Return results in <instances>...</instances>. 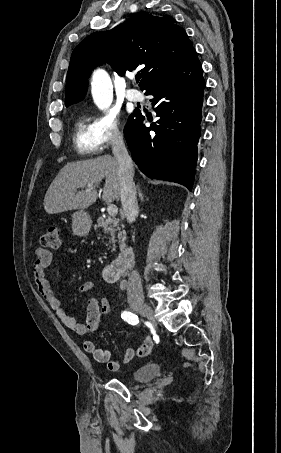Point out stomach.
Returning a JSON list of instances; mask_svg holds the SVG:
<instances>
[{
    "instance_id": "1",
    "label": "stomach",
    "mask_w": 281,
    "mask_h": 453,
    "mask_svg": "<svg viewBox=\"0 0 281 453\" xmlns=\"http://www.w3.org/2000/svg\"><path fill=\"white\" fill-rule=\"evenodd\" d=\"M91 229V218L88 212H85L83 208L81 210H76L72 214V231L74 235H79V237H85L88 235Z\"/></svg>"
}]
</instances>
